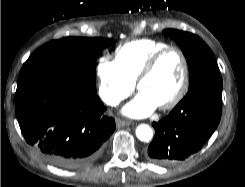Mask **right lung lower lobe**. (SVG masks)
Here are the masks:
<instances>
[{"mask_svg":"<svg viewBox=\"0 0 245 187\" xmlns=\"http://www.w3.org/2000/svg\"><path fill=\"white\" fill-rule=\"evenodd\" d=\"M95 86L54 73L18 80L15 113L21 131L37 155L59 168L92 164L115 130L103 115Z\"/></svg>","mask_w":245,"mask_h":187,"instance_id":"1","label":"right lung lower lobe"}]
</instances>
